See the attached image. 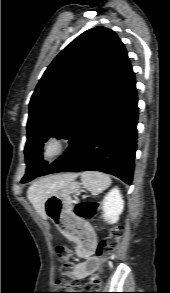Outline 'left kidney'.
I'll list each match as a JSON object with an SVG mask.
<instances>
[{
	"instance_id": "1",
	"label": "left kidney",
	"mask_w": 170,
	"mask_h": 293,
	"mask_svg": "<svg viewBox=\"0 0 170 293\" xmlns=\"http://www.w3.org/2000/svg\"><path fill=\"white\" fill-rule=\"evenodd\" d=\"M102 206L104 220L109 224L116 223L124 209V200L118 188H113L106 194Z\"/></svg>"
}]
</instances>
